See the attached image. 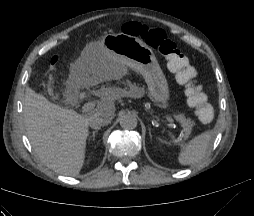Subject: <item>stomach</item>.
<instances>
[{
  "mask_svg": "<svg viewBox=\"0 0 254 216\" xmlns=\"http://www.w3.org/2000/svg\"><path fill=\"white\" fill-rule=\"evenodd\" d=\"M119 57L127 68L140 73L151 100L161 109H168L170 88L152 49L139 38L128 35H107L88 46L75 66L91 72L103 66L108 58Z\"/></svg>",
  "mask_w": 254,
  "mask_h": 216,
  "instance_id": "obj_1",
  "label": "stomach"
}]
</instances>
